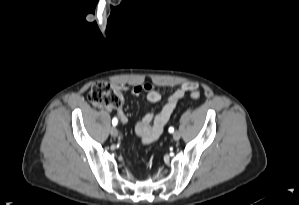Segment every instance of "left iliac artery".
Returning <instances> with one entry per match:
<instances>
[{
	"label": "left iliac artery",
	"instance_id": "obj_1",
	"mask_svg": "<svg viewBox=\"0 0 299 205\" xmlns=\"http://www.w3.org/2000/svg\"><path fill=\"white\" fill-rule=\"evenodd\" d=\"M173 131H174V128H173V127H170V128H169V132L172 133Z\"/></svg>",
	"mask_w": 299,
	"mask_h": 205
}]
</instances>
